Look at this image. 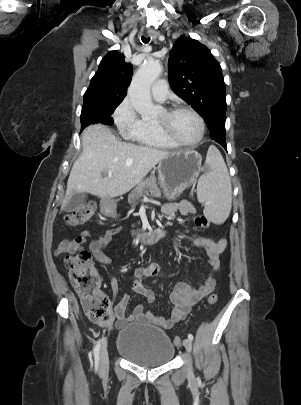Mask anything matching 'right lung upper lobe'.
Wrapping results in <instances>:
<instances>
[{"instance_id": "right-lung-upper-lobe-1", "label": "right lung upper lobe", "mask_w": 301, "mask_h": 405, "mask_svg": "<svg viewBox=\"0 0 301 405\" xmlns=\"http://www.w3.org/2000/svg\"><path fill=\"white\" fill-rule=\"evenodd\" d=\"M124 58L118 51H111L103 58L84 94V100L103 98L122 102L133 73L132 65Z\"/></svg>"}]
</instances>
